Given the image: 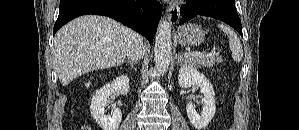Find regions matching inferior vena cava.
Instances as JSON below:
<instances>
[{"label":"inferior vena cava","instance_id":"obj_1","mask_svg":"<svg viewBox=\"0 0 299 130\" xmlns=\"http://www.w3.org/2000/svg\"><path fill=\"white\" fill-rule=\"evenodd\" d=\"M143 53H144L143 38L138 33L134 32L131 43L127 50V55L132 60L137 61L138 59L141 58Z\"/></svg>","mask_w":299,"mask_h":130}]
</instances>
